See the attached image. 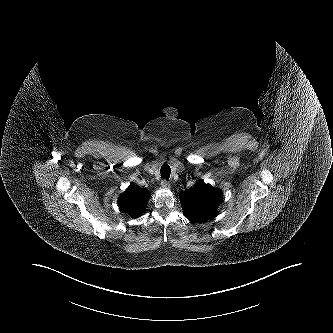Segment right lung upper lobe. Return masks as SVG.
Segmentation results:
<instances>
[{"instance_id": "1", "label": "right lung upper lobe", "mask_w": 333, "mask_h": 333, "mask_svg": "<svg viewBox=\"0 0 333 333\" xmlns=\"http://www.w3.org/2000/svg\"><path fill=\"white\" fill-rule=\"evenodd\" d=\"M149 196L150 192L148 190L130 186L119 197V208L133 218H137L144 212Z\"/></svg>"}]
</instances>
